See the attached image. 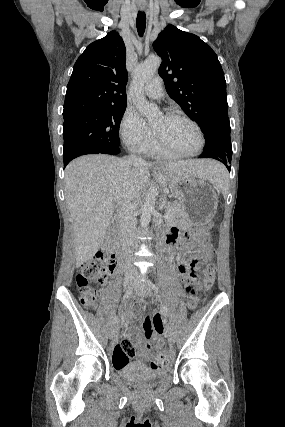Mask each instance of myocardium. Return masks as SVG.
Here are the masks:
<instances>
[{
    "label": "myocardium",
    "instance_id": "f54148a6",
    "mask_svg": "<svg viewBox=\"0 0 285 427\" xmlns=\"http://www.w3.org/2000/svg\"><path fill=\"white\" fill-rule=\"evenodd\" d=\"M166 117L169 118H174V119H181L184 120L186 122H188L189 124H191L199 137V146L197 147V149L193 152H183L181 150H178L176 147H174L172 144H170L169 142H167L159 133L156 129H154L155 135H156V139L157 142L167 151L174 153L178 156L181 157H192L195 156L197 154H199L201 152V150L204 148L205 146V137H204V133L200 127V125L192 118H190L187 115H184L182 113L179 112H167L164 114Z\"/></svg>",
    "mask_w": 285,
    "mask_h": 427
}]
</instances>
